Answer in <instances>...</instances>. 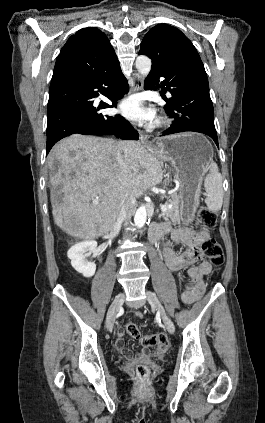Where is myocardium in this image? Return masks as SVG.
Masks as SVG:
<instances>
[{"label": "myocardium", "mask_w": 265, "mask_h": 423, "mask_svg": "<svg viewBox=\"0 0 265 423\" xmlns=\"http://www.w3.org/2000/svg\"><path fill=\"white\" fill-rule=\"evenodd\" d=\"M156 127H163L166 125V120L163 117H159L154 124Z\"/></svg>", "instance_id": "1"}]
</instances>
